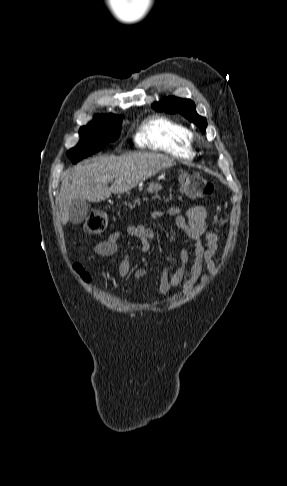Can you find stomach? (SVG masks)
I'll list each match as a JSON object with an SVG mask.
<instances>
[{"mask_svg": "<svg viewBox=\"0 0 287 486\" xmlns=\"http://www.w3.org/2000/svg\"><path fill=\"white\" fill-rule=\"evenodd\" d=\"M162 189V186L159 183H150L147 187L146 191L151 194H157Z\"/></svg>", "mask_w": 287, "mask_h": 486, "instance_id": "0dacf381", "label": "stomach"}]
</instances>
